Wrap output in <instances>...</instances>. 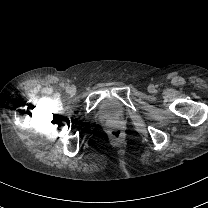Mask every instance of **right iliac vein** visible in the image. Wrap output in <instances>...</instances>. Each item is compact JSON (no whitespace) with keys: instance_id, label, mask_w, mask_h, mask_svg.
<instances>
[{"instance_id":"1","label":"right iliac vein","mask_w":208,"mask_h":208,"mask_svg":"<svg viewBox=\"0 0 208 208\" xmlns=\"http://www.w3.org/2000/svg\"><path fill=\"white\" fill-rule=\"evenodd\" d=\"M68 93H69L70 95H75V93H76V88H75V86L69 87Z\"/></svg>"}]
</instances>
